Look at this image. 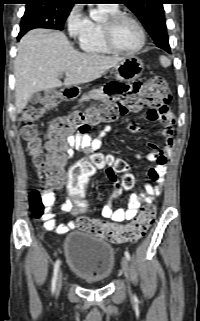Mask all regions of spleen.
Instances as JSON below:
<instances>
[{
	"label": "spleen",
	"instance_id": "spleen-1",
	"mask_svg": "<svg viewBox=\"0 0 200 321\" xmlns=\"http://www.w3.org/2000/svg\"><path fill=\"white\" fill-rule=\"evenodd\" d=\"M159 61L164 68H167L171 65V61L166 56H160Z\"/></svg>",
	"mask_w": 200,
	"mask_h": 321
}]
</instances>
